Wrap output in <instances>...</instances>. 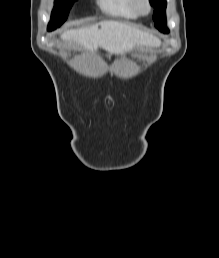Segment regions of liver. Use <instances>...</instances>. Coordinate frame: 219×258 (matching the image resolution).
I'll return each mask as SVG.
<instances>
[{"mask_svg":"<svg viewBox=\"0 0 219 258\" xmlns=\"http://www.w3.org/2000/svg\"><path fill=\"white\" fill-rule=\"evenodd\" d=\"M61 38L73 41L87 51L93 52L100 47L110 54L117 55H123L135 46H152L158 43L152 35L114 20H105L85 28L66 31Z\"/></svg>","mask_w":219,"mask_h":258,"instance_id":"6515ba94","label":"liver"}]
</instances>
